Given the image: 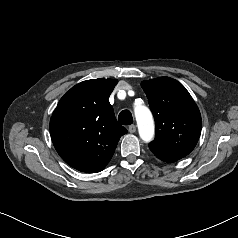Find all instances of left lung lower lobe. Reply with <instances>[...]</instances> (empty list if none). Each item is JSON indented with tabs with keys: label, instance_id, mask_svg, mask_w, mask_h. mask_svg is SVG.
<instances>
[{
	"label": "left lung lower lobe",
	"instance_id": "0a47b994",
	"mask_svg": "<svg viewBox=\"0 0 238 238\" xmlns=\"http://www.w3.org/2000/svg\"><path fill=\"white\" fill-rule=\"evenodd\" d=\"M155 156H157V158H159L160 160L165 161V162H174V161L178 160V159H174V158H171V157H168L165 155H161V154H156Z\"/></svg>",
	"mask_w": 238,
	"mask_h": 238
}]
</instances>
